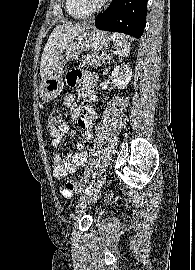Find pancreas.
I'll list each match as a JSON object with an SVG mask.
<instances>
[{
	"mask_svg": "<svg viewBox=\"0 0 195 270\" xmlns=\"http://www.w3.org/2000/svg\"><path fill=\"white\" fill-rule=\"evenodd\" d=\"M110 58L106 57V54H99V53H92L85 56H82L80 59V65L86 66V65H96L100 66L102 63H106L107 61H110Z\"/></svg>",
	"mask_w": 195,
	"mask_h": 270,
	"instance_id": "obj_1",
	"label": "pancreas"
}]
</instances>
